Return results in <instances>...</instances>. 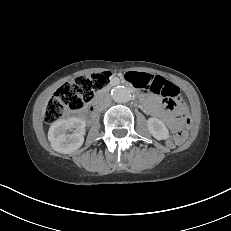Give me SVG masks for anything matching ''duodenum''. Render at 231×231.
<instances>
[{"instance_id": "duodenum-1", "label": "duodenum", "mask_w": 231, "mask_h": 231, "mask_svg": "<svg viewBox=\"0 0 231 231\" xmlns=\"http://www.w3.org/2000/svg\"><path fill=\"white\" fill-rule=\"evenodd\" d=\"M143 99L145 100V96H143ZM98 106H99V100L95 101L90 105L89 112L95 111L98 108Z\"/></svg>"}]
</instances>
